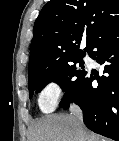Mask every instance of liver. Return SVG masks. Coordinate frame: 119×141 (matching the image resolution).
I'll list each match as a JSON object with an SVG mask.
<instances>
[{
	"mask_svg": "<svg viewBox=\"0 0 119 141\" xmlns=\"http://www.w3.org/2000/svg\"><path fill=\"white\" fill-rule=\"evenodd\" d=\"M29 141H106L89 132L73 115H49L31 128Z\"/></svg>",
	"mask_w": 119,
	"mask_h": 141,
	"instance_id": "1",
	"label": "liver"
}]
</instances>
